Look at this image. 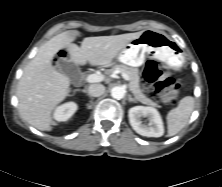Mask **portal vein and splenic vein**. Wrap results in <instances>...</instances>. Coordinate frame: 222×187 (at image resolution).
I'll list each match as a JSON object with an SVG mask.
<instances>
[{"label": "portal vein and splenic vein", "mask_w": 222, "mask_h": 187, "mask_svg": "<svg viewBox=\"0 0 222 187\" xmlns=\"http://www.w3.org/2000/svg\"><path fill=\"white\" fill-rule=\"evenodd\" d=\"M122 77L124 80L128 81L129 76L126 73H122ZM104 80V76L101 74H90L86 77V81L88 83H97Z\"/></svg>", "instance_id": "obj_1"}]
</instances>
